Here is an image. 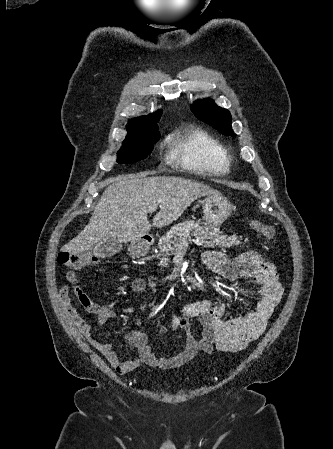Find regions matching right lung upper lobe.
<instances>
[{"label": "right lung upper lobe", "instance_id": "cb5924a9", "mask_svg": "<svg viewBox=\"0 0 333 449\" xmlns=\"http://www.w3.org/2000/svg\"><path fill=\"white\" fill-rule=\"evenodd\" d=\"M161 113H162V111L159 110V111L152 113L148 116H142V117H138V118L129 120L128 126H127L128 135L126 136L124 141L135 140V139L144 137V135L142 133L144 124L151 119L160 118Z\"/></svg>", "mask_w": 333, "mask_h": 449}]
</instances>
